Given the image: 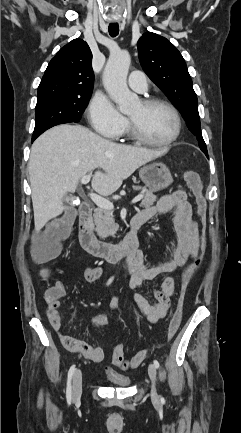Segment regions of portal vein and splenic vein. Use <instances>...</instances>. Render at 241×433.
Returning <instances> with one entry per match:
<instances>
[{
    "label": "portal vein and splenic vein",
    "mask_w": 241,
    "mask_h": 433,
    "mask_svg": "<svg viewBox=\"0 0 241 433\" xmlns=\"http://www.w3.org/2000/svg\"><path fill=\"white\" fill-rule=\"evenodd\" d=\"M91 179V174L85 175L84 177H82L81 179V184L86 185L89 183ZM90 198L91 200L100 208L106 209V210H113L114 209V205L112 202H110L109 200L95 194V193H90ZM143 198V195H138L136 196L133 200H132V204H135L137 202H139L141 199Z\"/></svg>",
    "instance_id": "18ae733b"
}]
</instances>
